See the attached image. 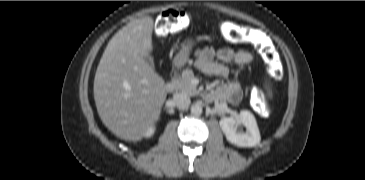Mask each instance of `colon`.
Returning <instances> with one entry per match:
<instances>
[{"mask_svg": "<svg viewBox=\"0 0 365 180\" xmlns=\"http://www.w3.org/2000/svg\"><path fill=\"white\" fill-rule=\"evenodd\" d=\"M191 24L190 14L183 10L168 9L161 13L159 19L154 25V32L158 37H168L170 35H176L185 31ZM254 37L253 31L248 27H234L227 26V30L224 33V38L234 44H244L249 42ZM264 56L270 63L272 72L268 78L271 80H279L282 76L281 67L278 61L274 59L272 52L263 50ZM258 99L261 104L265 102V96L262 92L258 93Z\"/></svg>", "mask_w": 365, "mask_h": 180, "instance_id": "obj_1", "label": "colon"}]
</instances>
